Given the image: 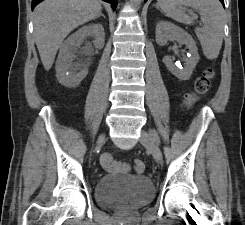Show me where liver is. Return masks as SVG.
<instances>
[{"label":"liver","mask_w":245,"mask_h":225,"mask_svg":"<svg viewBox=\"0 0 245 225\" xmlns=\"http://www.w3.org/2000/svg\"><path fill=\"white\" fill-rule=\"evenodd\" d=\"M102 7L98 0H44L34 10V36L41 62L49 70L67 35L95 19Z\"/></svg>","instance_id":"obj_1"}]
</instances>
